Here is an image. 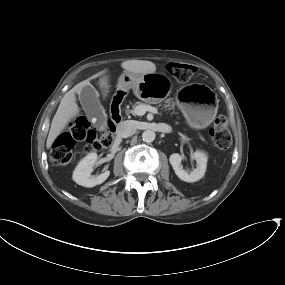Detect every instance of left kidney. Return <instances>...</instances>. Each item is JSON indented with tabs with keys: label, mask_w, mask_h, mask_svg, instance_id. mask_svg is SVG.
Listing matches in <instances>:
<instances>
[{
	"label": "left kidney",
	"mask_w": 285,
	"mask_h": 285,
	"mask_svg": "<svg viewBox=\"0 0 285 285\" xmlns=\"http://www.w3.org/2000/svg\"><path fill=\"white\" fill-rule=\"evenodd\" d=\"M191 158L196 160L197 166L196 168L191 171L190 173L183 169L181 164L182 160L184 159L183 155L178 153H174L170 155L169 161L173 167L175 174L185 182H196L199 181L205 174L206 167H207V155L202 151H195Z\"/></svg>",
	"instance_id": "5707ae66"
}]
</instances>
